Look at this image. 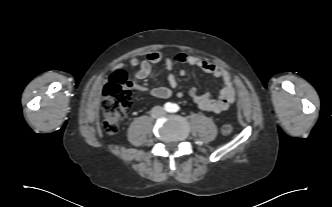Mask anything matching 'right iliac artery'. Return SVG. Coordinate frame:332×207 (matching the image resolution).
<instances>
[{
  "label": "right iliac artery",
  "instance_id": "82829eb1",
  "mask_svg": "<svg viewBox=\"0 0 332 207\" xmlns=\"http://www.w3.org/2000/svg\"><path fill=\"white\" fill-rule=\"evenodd\" d=\"M171 106L172 105L170 103H166L165 104V109L169 111V110H171Z\"/></svg>",
  "mask_w": 332,
  "mask_h": 207
}]
</instances>
